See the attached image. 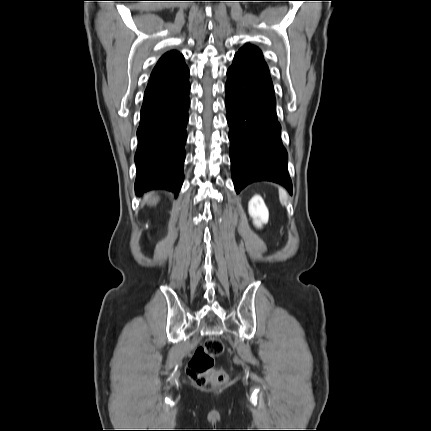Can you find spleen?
<instances>
[{
  "label": "spleen",
  "instance_id": "3e777b00",
  "mask_svg": "<svg viewBox=\"0 0 431 431\" xmlns=\"http://www.w3.org/2000/svg\"><path fill=\"white\" fill-rule=\"evenodd\" d=\"M287 198H288V194H287L286 190L283 189V188H279V199H280V202L282 204H285V202L287 201Z\"/></svg>",
  "mask_w": 431,
  "mask_h": 431
}]
</instances>
